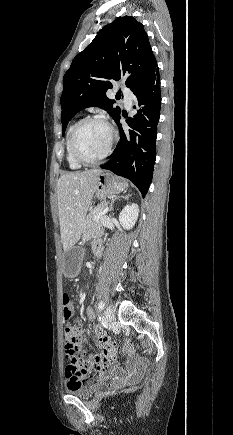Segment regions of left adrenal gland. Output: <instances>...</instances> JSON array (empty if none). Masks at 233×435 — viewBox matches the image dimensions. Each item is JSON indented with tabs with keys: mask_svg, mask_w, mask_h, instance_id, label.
I'll return each mask as SVG.
<instances>
[{
	"mask_svg": "<svg viewBox=\"0 0 233 435\" xmlns=\"http://www.w3.org/2000/svg\"><path fill=\"white\" fill-rule=\"evenodd\" d=\"M121 198L128 199V198H129V195L121 196ZM116 200H119V198H115V199H113V200L111 201L110 206H109V211H112V210H113V205H114V202H115Z\"/></svg>",
	"mask_w": 233,
	"mask_h": 435,
	"instance_id": "obj_1",
	"label": "left adrenal gland"
}]
</instances>
